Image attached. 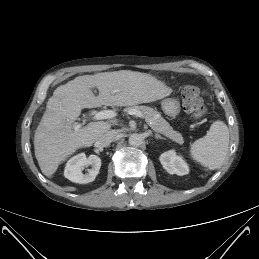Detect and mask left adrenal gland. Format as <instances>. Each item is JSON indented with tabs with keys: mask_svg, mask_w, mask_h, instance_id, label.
Listing matches in <instances>:
<instances>
[{
	"mask_svg": "<svg viewBox=\"0 0 259 259\" xmlns=\"http://www.w3.org/2000/svg\"><path fill=\"white\" fill-rule=\"evenodd\" d=\"M154 138L157 139V140H158V139H160V140H165V138L161 137V136L158 135V134H155V135H154Z\"/></svg>",
	"mask_w": 259,
	"mask_h": 259,
	"instance_id": "a2214340",
	"label": "left adrenal gland"
}]
</instances>
